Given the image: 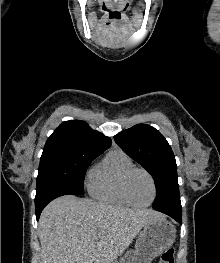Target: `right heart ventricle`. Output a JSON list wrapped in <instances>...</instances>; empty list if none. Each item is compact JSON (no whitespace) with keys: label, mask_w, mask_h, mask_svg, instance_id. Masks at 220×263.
Wrapping results in <instances>:
<instances>
[{"label":"right heart ventricle","mask_w":220,"mask_h":263,"mask_svg":"<svg viewBox=\"0 0 220 263\" xmlns=\"http://www.w3.org/2000/svg\"><path fill=\"white\" fill-rule=\"evenodd\" d=\"M134 166L123 151H109L89 173L87 187L91 197L107 204L131 205L123 194L122 181L125 173Z\"/></svg>","instance_id":"obj_1"}]
</instances>
